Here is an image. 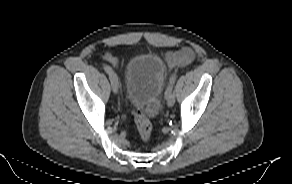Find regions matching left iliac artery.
Returning a JSON list of instances; mask_svg holds the SVG:
<instances>
[{
	"mask_svg": "<svg viewBox=\"0 0 292 184\" xmlns=\"http://www.w3.org/2000/svg\"><path fill=\"white\" fill-rule=\"evenodd\" d=\"M176 78H177V75L176 74H173L170 77L169 84H168L167 89H166V92H165V96H167L168 93H169V91L173 89V86L175 84Z\"/></svg>",
	"mask_w": 292,
	"mask_h": 184,
	"instance_id": "obj_1",
	"label": "left iliac artery"
}]
</instances>
